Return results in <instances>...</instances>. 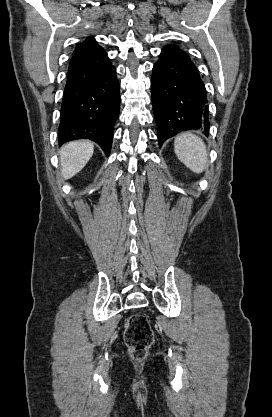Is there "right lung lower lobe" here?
Here are the masks:
<instances>
[{"label":"right lung lower lobe","instance_id":"right-lung-lower-lobe-1","mask_svg":"<svg viewBox=\"0 0 272 417\" xmlns=\"http://www.w3.org/2000/svg\"><path fill=\"white\" fill-rule=\"evenodd\" d=\"M119 103L116 69L107 53L96 44L73 55L61 107L59 144L90 139L108 156L114 124L119 116Z\"/></svg>","mask_w":272,"mask_h":417}]
</instances>
